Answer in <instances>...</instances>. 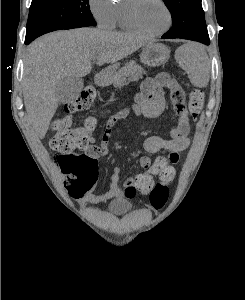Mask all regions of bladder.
<instances>
[{"mask_svg": "<svg viewBox=\"0 0 245 300\" xmlns=\"http://www.w3.org/2000/svg\"><path fill=\"white\" fill-rule=\"evenodd\" d=\"M133 208V205L127 199H120L111 202L108 207V212L116 215L124 214L130 211Z\"/></svg>", "mask_w": 245, "mask_h": 300, "instance_id": "1", "label": "bladder"}]
</instances>
